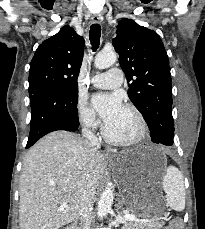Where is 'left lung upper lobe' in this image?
<instances>
[{"mask_svg": "<svg viewBox=\"0 0 205 229\" xmlns=\"http://www.w3.org/2000/svg\"><path fill=\"white\" fill-rule=\"evenodd\" d=\"M116 33L112 43L129 83L128 96L148 124L152 141L171 146V74L160 36L127 18L119 21Z\"/></svg>", "mask_w": 205, "mask_h": 229, "instance_id": "obj_1", "label": "left lung upper lobe"}]
</instances>
